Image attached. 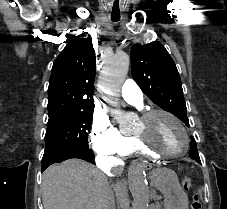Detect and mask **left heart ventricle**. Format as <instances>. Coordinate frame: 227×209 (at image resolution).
<instances>
[{"label":"left heart ventricle","instance_id":"left-heart-ventricle-1","mask_svg":"<svg viewBox=\"0 0 227 209\" xmlns=\"http://www.w3.org/2000/svg\"><path fill=\"white\" fill-rule=\"evenodd\" d=\"M134 133L160 152H175L184 146L182 130L164 114H156L144 121L138 120Z\"/></svg>","mask_w":227,"mask_h":209}]
</instances>
